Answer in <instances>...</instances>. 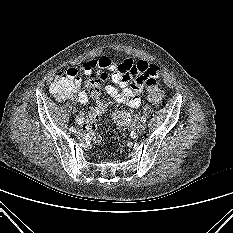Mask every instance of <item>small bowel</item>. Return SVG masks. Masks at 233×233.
I'll list each match as a JSON object with an SVG mask.
<instances>
[{
	"label": "small bowel",
	"mask_w": 233,
	"mask_h": 233,
	"mask_svg": "<svg viewBox=\"0 0 233 233\" xmlns=\"http://www.w3.org/2000/svg\"><path fill=\"white\" fill-rule=\"evenodd\" d=\"M106 70L111 72L112 81L121 88L119 91L114 86L105 84L104 89L106 93L116 102L125 104L132 109L140 106V94L147 80L149 78H157L160 73V69L156 65L149 64L143 60L135 62L132 59H124L121 62H115L108 56H101L97 59L86 61L79 67H69L65 71L73 80V92L66 99L79 102L81 105L87 104L89 97L86 92L81 90L79 73L82 72L85 75L95 73L101 82H105L108 78ZM77 122H84L83 108L80 109L77 115Z\"/></svg>",
	"instance_id": "obj_1"
}]
</instances>
